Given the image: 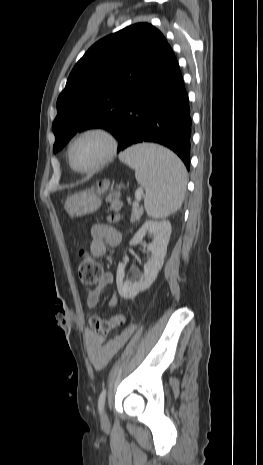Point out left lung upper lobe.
Listing matches in <instances>:
<instances>
[{
  "label": "left lung upper lobe",
  "mask_w": 263,
  "mask_h": 465,
  "mask_svg": "<svg viewBox=\"0 0 263 465\" xmlns=\"http://www.w3.org/2000/svg\"><path fill=\"white\" fill-rule=\"evenodd\" d=\"M168 45L148 23H137L96 42L77 62L57 100L52 129L58 152L77 132L105 128L115 136L133 87Z\"/></svg>",
  "instance_id": "left-lung-upper-lobe-1"
}]
</instances>
